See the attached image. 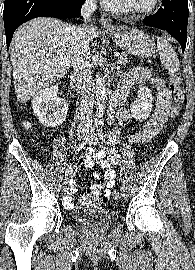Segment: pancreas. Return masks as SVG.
I'll list each match as a JSON object with an SVG mask.
<instances>
[{"mask_svg": "<svg viewBox=\"0 0 195 270\" xmlns=\"http://www.w3.org/2000/svg\"><path fill=\"white\" fill-rule=\"evenodd\" d=\"M118 63L121 65H126L128 63V57L126 53H122L118 58Z\"/></svg>", "mask_w": 195, "mask_h": 270, "instance_id": "pancreas-1", "label": "pancreas"}]
</instances>
